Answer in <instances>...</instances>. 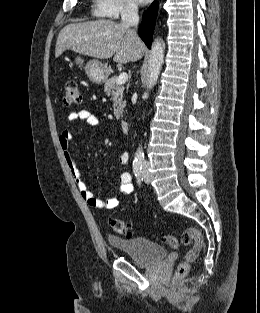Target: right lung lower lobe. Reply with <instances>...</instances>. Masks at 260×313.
<instances>
[{"label":"right lung lower lobe","mask_w":260,"mask_h":313,"mask_svg":"<svg viewBox=\"0 0 260 313\" xmlns=\"http://www.w3.org/2000/svg\"><path fill=\"white\" fill-rule=\"evenodd\" d=\"M158 12V3L154 2L144 12L142 23L139 27V35L145 44L150 48L152 43V36L155 28V21Z\"/></svg>","instance_id":"right-lung-lower-lobe-1"}]
</instances>
